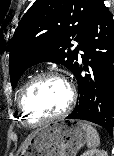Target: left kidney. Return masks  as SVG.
<instances>
[{"label":"left kidney","instance_id":"obj_1","mask_svg":"<svg viewBox=\"0 0 114 156\" xmlns=\"http://www.w3.org/2000/svg\"><path fill=\"white\" fill-rule=\"evenodd\" d=\"M81 156H108V155L107 152L104 150L91 149L83 153Z\"/></svg>","mask_w":114,"mask_h":156}]
</instances>
